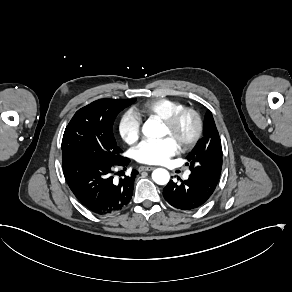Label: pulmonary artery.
Wrapping results in <instances>:
<instances>
[{
    "label": "pulmonary artery",
    "instance_id": "e3ab8cb5",
    "mask_svg": "<svg viewBox=\"0 0 292 292\" xmlns=\"http://www.w3.org/2000/svg\"><path fill=\"white\" fill-rule=\"evenodd\" d=\"M189 174H190V172H187V173L185 174V176H186V177H188V176H189Z\"/></svg>",
    "mask_w": 292,
    "mask_h": 292
}]
</instances>
